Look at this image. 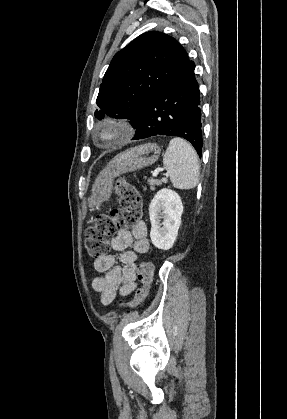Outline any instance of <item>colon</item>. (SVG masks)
Instances as JSON below:
<instances>
[{
    "label": "colon",
    "instance_id": "colon-1",
    "mask_svg": "<svg viewBox=\"0 0 287 419\" xmlns=\"http://www.w3.org/2000/svg\"><path fill=\"white\" fill-rule=\"evenodd\" d=\"M120 208L112 210L109 214L96 216L93 226L85 232V246L89 257L98 261L105 257L109 251L108 239L114 235L118 228H128L138 222L141 217L142 203L137 189L125 179H118L115 183ZM137 277L141 283L135 293L134 299L127 305L135 307L143 302L149 295L153 278V265L149 261H142L137 270ZM120 307L125 303L120 301Z\"/></svg>",
    "mask_w": 287,
    "mask_h": 419
}]
</instances>
